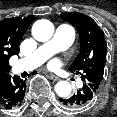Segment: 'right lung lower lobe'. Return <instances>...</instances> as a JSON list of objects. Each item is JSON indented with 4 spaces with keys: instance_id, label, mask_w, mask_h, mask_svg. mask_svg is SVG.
<instances>
[{
    "instance_id": "right-lung-lower-lobe-1",
    "label": "right lung lower lobe",
    "mask_w": 117,
    "mask_h": 117,
    "mask_svg": "<svg viewBox=\"0 0 117 117\" xmlns=\"http://www.w3.org/2000/svg\"><path fill=\"white\" fill-rule=\"evenodd\" d=\"M26 86L23 80L14 77L0 88V107L12 109L20 106L25 96Z\"/></svg>"
}]
</instances>
